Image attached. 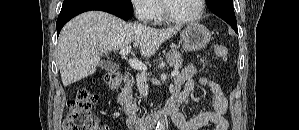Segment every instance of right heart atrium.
Here are the masks:
<instances>
[{
	"label": "right heart atrium",
	"instance_id": "obj_1",
	"mask_svg": "<svg viewBox=\"0 0 299 130\" xmlns=\"http://www.w3.org/2000/svg\"><path fill=\"white\" fill-rule=\"evenodd\" d=\"M132 5L137 18L141 21L154 20L158 15L157 0H134Z\"/></svg>",
	"mask_w": 299,
	"mask_h": 130
}]
</instances>
